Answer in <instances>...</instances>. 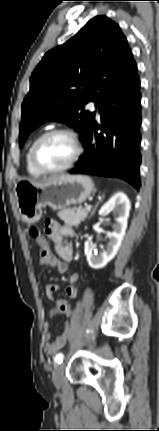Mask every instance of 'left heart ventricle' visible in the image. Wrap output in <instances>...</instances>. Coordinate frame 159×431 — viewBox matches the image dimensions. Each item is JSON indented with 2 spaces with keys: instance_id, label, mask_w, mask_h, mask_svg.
<instances>
[{
  "instance_id": "b2bd125f",
  "label": "left heart ventricle",
  "mask_w": 159,
  "mask_h": 431,
  "mask_svg": "<svg viewBox=\"0 0 159 431\" xmlns=\"http://www.w3.org/2000/svg\"><path fill=\"white\" fill-rule=\"evenodd\" d=\"M74 145L66 135H54L38 147V161L45 167L56 169L66 165L74 155Z\"/></svg>"
}]
</instances>
